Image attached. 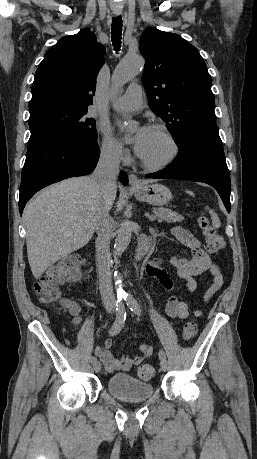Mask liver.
I'll use <instances>...</instances> for the list:
<instances>
[{
  "mask_svg": "<svg viewBox=\"0 0 257 459\" xmlns=\"http://www.w3.org/2000/svg\"><path fill=\"white\" fill-rule=\"evenodd\" d=\"M117 188L110 194L111 205ZM99 194L92 176L63 180L42 190L24 209L28 261L38 279L46 269L85 246L96 228Z\"/></svg>",
  "mask_w": 257,
  "mask_h": 459,
  "instance_id": "liver-1",
  "label": "liver"
}]
</instances>
